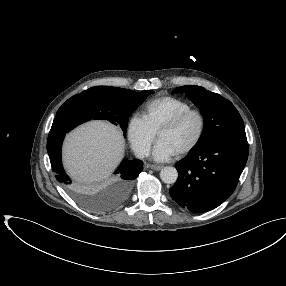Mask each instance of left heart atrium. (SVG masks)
<instances>
[{
  "mask_svg": "<svg viewBox=\"0 0 286 286\" xmlns=\"http://www.w3.org/2000/svg\"><path fill=\"white\" fill-rule=\"evenodd\" d=\"M177 154V151L171 147L166 141L159 140L153 150V158L156 161L170 160Z\"/></svg>",
  "mask_w": 286,
  "mask_h": 286,
  "instance_id": "left-heart-atrium-1",
  "label": "left heart atrium"
}]
</instances>
